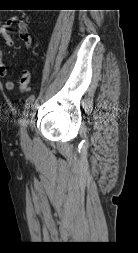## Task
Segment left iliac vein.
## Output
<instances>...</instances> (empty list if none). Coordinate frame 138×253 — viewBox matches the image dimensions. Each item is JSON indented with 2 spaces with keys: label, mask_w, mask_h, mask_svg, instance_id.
<instances>
[{
  "label": "left iliac vein",
  "mask_w": 138,
  "mask_h": 253,
  "mask_svg": "<svg viewBox=\"0 0 138 253\" xmlns=\"http://www.w3.org/2000/svg\"><path fill=\"white\" fill-rule=\"evenodd\" d=\"M21 140L23 142H27L29 140L28 132H27V122H24L21 129Z\"/></svg>",
  "instance_id": "1"
}]
</instances>
